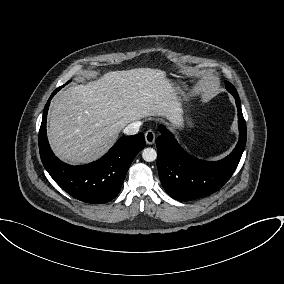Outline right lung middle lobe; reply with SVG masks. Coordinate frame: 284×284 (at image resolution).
Here are the masks:
<instances>
[{
  "label": "right lung middle lobe",
  "instance_id": "dd1d6c3e",
  "mask_svg": "<svg viewBox=\"0 0 284 284\" xmlns=\"http://www.w3.org/2000/svg\"><path fill=\"white\" fill-rule=\"evenodd\" d=\"M70 81H68L66 84H68ZM63 86L59 87L58 89H56L57 91L60 90Z\"/></svg>",
  "mask_w": 284,
  "mask_h": 284
}]
</instances>
